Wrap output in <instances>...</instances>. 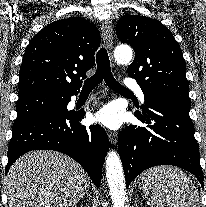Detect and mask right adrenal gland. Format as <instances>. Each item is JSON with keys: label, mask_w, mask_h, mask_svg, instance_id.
Listing matches in <instances>:
<instances>
[{"label": "right adrenal gland", "mask_w": 206, "mask_h": 207, "mask_svg": "<svg viewBox=\"0 0 206 207\" xmlns=\"http://www.w3.org/2000/svg\"><path fill=\"white\" fill-rule=\"evenodd\" d=\"M84 196H87V197H89V196H90V193H89V188H87V190H86V192H85Z\"/></svg>", "instance_id": "obj_1"}]
</instances>
